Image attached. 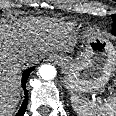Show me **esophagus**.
Here are the masks:
<instances>
[{
  "label": "esophagus",
  "instance_id": "obj_1",
  "mask_svg": "<svg viewBox=\"0 0 116 116\" xmlns=\"http://www.w3.org/2000/svg\"><path fill=\"white\" fill-rule=\"evenodd\" d=\"M48 60H49V61H53V60H54V57H53V56H49V57H48Z\"/></svg>",
  "mask_w": 116,
  "mask_h": 116
}]
</instances>
